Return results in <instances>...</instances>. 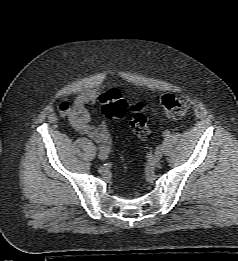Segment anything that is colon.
<instances>
[{
	"instance_id": "1",
	"label": "colon",
	"mask_w": 238,
	"mask_h": 261,
	"mask_svg": "<svg viewBox=\"0 0 238 261\" xmlns=\"http://www.w3.org/2000/svg\"><path fill=\"white\" fill-rule=\"evenodd\" d=\"M99 102L102 112L107 118H123L129 114L130 127L133 133L141 139H149L151 137L152 132L147 124V119L141 104L129 106L121 93L116 89L103 93L100 96ZM158 103L167 116L175 120L182 119L189 109L187 100L173 94L160 96Z\"/></svg>"
}]
</instances>
